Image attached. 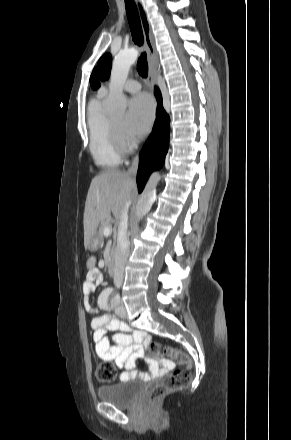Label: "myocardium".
<instances>
[{
    "instance_id": "myocardium-1",
    "label": "myocardium",
    "mask_w": 291,
    "mask_h": 440,
    "mask_svg": "<svg viewBox=\"0 0 291 440\" xmlns=\"http://www.w3.org/2000/svg\"><path fill=\"white\" fill-rule=\"evenodd\" d=\"M108 127L111 135L112 142L115 148L120 152L127 151L132 144L128 141L125 135L114 125L112 120L108 119Z\"/></svg>"
}]
</instances>
